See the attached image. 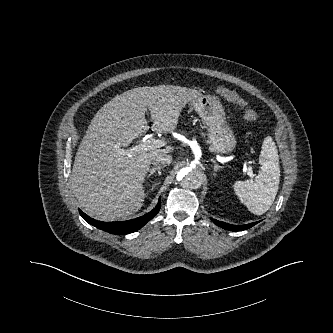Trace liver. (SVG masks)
<instances>
[{
	"label": "liver",
	"mask_w": 333,
	"mask_h": 333,
	"mask_svg": "<svg viewBox=\"0 0 333 333\" xmlns=\"http://www.w3.org/2000/svg\"><path fill=\"white\" fill-rule=\"evenodd\" d=\"M200 94L173 85L137 87L99 109L79 146L71 174L73 193L87 214L113 221L143 206L146 194L142 183L152 158L172 152L173 146L141 153L123 148L149 129L147 108L152 131L171 133L181 110Z\"/></svg>",
	"instance_id": "1"
}]
</instances>
